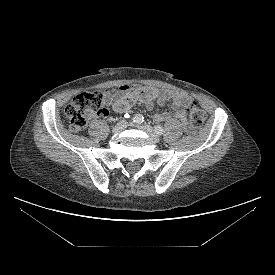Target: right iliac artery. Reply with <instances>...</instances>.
<instances>
[{"instance_id":"1","label":"right iliac artery","mask_w":275,"mask_h":275,"mask_svg":"<svg viewBox=\"0 0 275 275\" xmlns=\"http://www.w3.org/2000/svg\"><path fill=\"white\" fill-rule=\"evenodd\" d=\"M144 121V117L141 114H136L133 117V122L136 124H141Z\"/></svg>"}]
</instances>
